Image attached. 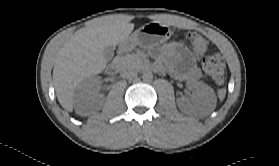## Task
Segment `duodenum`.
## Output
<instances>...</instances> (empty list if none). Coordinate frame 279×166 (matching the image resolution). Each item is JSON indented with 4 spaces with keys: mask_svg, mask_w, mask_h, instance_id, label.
Returning <instances> with one entry per match:
<instances>
[{
    "mask_svg": "<svg viewBox=\"0 0 279 166\" xmlns=\"http://www.w3.org/2000/svg\"><path fill=\"white\" fill-rule=\"evenodd\" d=\"M130 49H131V44L129 42L122 45V47L119 49L116 57L113 59L111 64L108 66V71L110 74H116L121 70V68L123 66L124 55Z\"/></svg>",
    "mask_w": 279,
    "mask_h": 166,
    "instance_id": "obj_1",
    "label": "duodenum"
}]
</instances>
